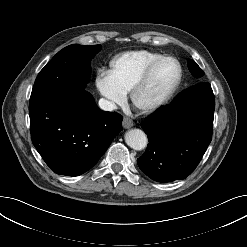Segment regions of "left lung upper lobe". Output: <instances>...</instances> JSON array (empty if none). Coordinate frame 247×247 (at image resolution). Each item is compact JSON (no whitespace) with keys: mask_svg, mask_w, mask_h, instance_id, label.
I'll return each mask as SVG.
<instances>
[{"mask_svg":"<svg viewBox=\"0 0 247 247\" xmlns=\"http://www.w3.org/2000/svg\"><path fill=\"white\" fill-rule=\"evenodd\" d=\"M188 67L194 77L200 78L204 75V72L200 69V67L191 59L188 60Z\"/></svg>","mask_w":247,"mask_h":247,"instance_id":"obj_1","label":"left lung upper lobe"}]
</instances>
